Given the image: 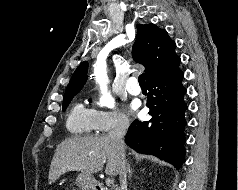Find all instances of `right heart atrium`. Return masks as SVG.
Returning a JSON list of instances; mask_svg holds the SVG:
<instances>
[{
	"label": "right heart atrium",
	"instance_id": "right-heart-atrium-1",
	"mask_svg": "<svg viewBox=\"0 0 238 190\" xmlns=\"http://www.w3.org/2000/svg\"><path fill=\"white\" fill-rule=\"evenodd\" d=\"M92 113L94 130L100 134L125 130L130 125L128 115L119 109H94Z\"/></svg>",
	"mask_w": 238,
	"mask_h": 190
}]
</instances>
